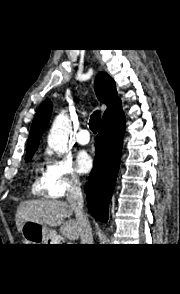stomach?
I'll list each match as a JSON object with an SVG mask.
<instances>
[{"label": "stomach", "instance_id": "0dacf381", "mask_svg": "<svg viewBox=\"0 0 180 294\" xmlns=\"http://www.w3.org/2000/svg\"><path fill=\"white\" fill-rule=\"evenodd\" d=\"M21 235L26 244H54L57 233L47 226L33 221H26L21 229Z\"/></svg>", "mask_w": 180, "mask_h": 294}]
</instances>
